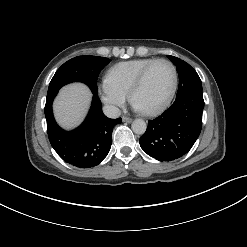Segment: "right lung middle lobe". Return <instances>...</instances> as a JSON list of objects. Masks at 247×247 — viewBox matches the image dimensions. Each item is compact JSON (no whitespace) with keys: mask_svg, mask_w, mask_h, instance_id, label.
Listing matches in <instances>:
<instances>
[{"mask_svg":"<svg viewBox=\"0 0 247 247\" xmlns=\"http://www.w3.org/2000/svg\"><path fill=\"white\" fill-rule=\"evenodd\" d=\"M110 59L98 56H77L64 63L53 76L47 95L57 92L63 85L83 82L97 94V78Z\"/></svg>","mask_w":247,"mask_h":247,"instance_id":"dd1d6c3e","label":"right lung middle lobe"}]
</instances>
